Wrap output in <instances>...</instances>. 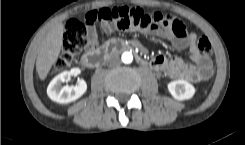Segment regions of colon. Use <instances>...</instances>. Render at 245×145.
Masks as SVG:
<instances>
[{
    "instance_id": "5ec220e1",
    "label": "colon",
    "mask_w": 245,
    "mask_h": 145,
    "mask_svg": "<svg viewBox=\"0 0 245 145\" xmlns=\"http://www.w3.org/2000/svg\"><path fill=\"white\" fill-rule=\"evenodd\" d=\"M99 20H114L121 30L152 31L157 29L164 21L162 15L156 12L145 11L140 7H119L113 9H102L95 13ZM177 35L184 32V25L180 22L172 24ZM91 41H94L93 37ZM87 43L86 26L78 20H70L65 25L64 42L60 56L55 60L53 70L58 71L65 68L72 60L80 54ZM194 44L203 55H209L211 45L207 37L199 36ZM208 74V69L205 70Z\"/></svg>"
}]
</instances>
